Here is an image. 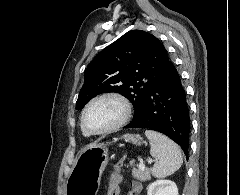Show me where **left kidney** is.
I'll return each mask as SVG.
<instances>
[{"label": "left kidney", "mask_w": 240, "mask_h": 195, "mask_svg": "<svg viewBox=\"0 0 240 195\" xmlns=\"http://www.w3.org/2000/svg\"><path fill=\"white\" fill-rule=\"evenodd\" d=\"M147 195H178V187L171 179H156L148 185Z\"/></svg>", "instance_id": "obj_1"}]
</instances>
